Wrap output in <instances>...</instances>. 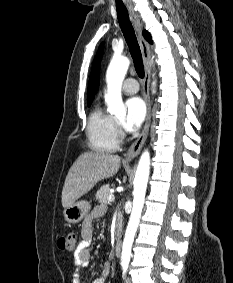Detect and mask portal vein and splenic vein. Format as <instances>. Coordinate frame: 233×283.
Listing matches in <instances>:
<instances>
[{"instance_id":"18ae733b","label":"portal vein and splenic vein","mask_w":233,"mask_h":283,"mask_svg":"<svg viewBox=\"0 0 233 283\" xmlns=\"http://www.w3.org/2000/svg\"><path fill=\"white\" fill-rule=\"evenodd\" d=\"M114 199H115V197H114L113 194H110V195L108 196V200H109L110 202L114 201Z\"/></svg>"}]
</instances>
